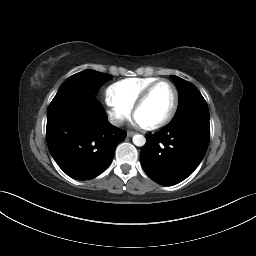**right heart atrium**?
Returning a JSON list of instances; mask_svg holds the SVG:
<instances>
[{
  "mask_svg": "<svg viewBox=\"0 0 256 256\" xmlns=\"http://www.w3.org/2000/svg\"><path fill=\"white\" fill-rule=\"evenodd\" d=\"M107 115L115 126L123 125L131 115V109L106 99Z\"/></svg>",
  "mask_w": 256,
  "mask_h": 256,
  "instance_id": "right-heart-atrium-1",
  "label": "right heart atrium"
}]
</instances>
